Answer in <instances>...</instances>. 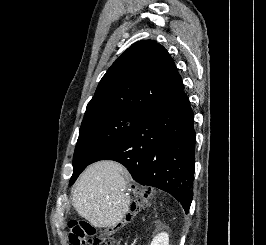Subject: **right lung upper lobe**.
Returning <instances> with one entry per match:
<instances>
[{
  "label": "right lung upper lobe",
  "mask_w": 266,
  "mask_h": 245,
  "mask_svg": "<svg viewBox=\"0 0 266 245\" xmlns=\"http://www.w3.org/2000/svg\"><path fill=\"white\" fill-rule=\"evenodd\" d=\"M183 91L182 79L167 50L152 40L139 41L108 69L85 116L109 110L145 115Z\"/></svg>",
  "instance_id": "obj_1"
}]
</instances>
